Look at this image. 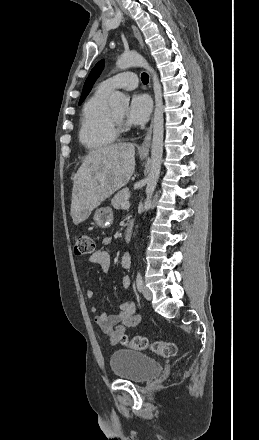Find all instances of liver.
<instances>
[{
  "label": "liver",
  "instance_id": "6515ba94",
  "mask_svg": "<svg viewBox=\"0 0 259 440\" xmlns=\"http://www.w3.org/2000/svg\"><path fill=\"white\" fill-rule=\"evenodd\" d=\"M135 169V146L115 144L91 151L74 176L71 217L85 221L115 191L125 186Z\"/></svg>",
  "mask_w": 259,
  "mask_h": 440
}]
</instances>
